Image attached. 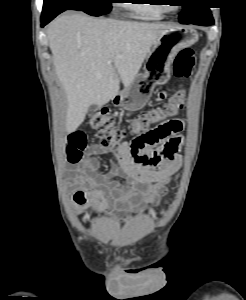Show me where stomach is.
Wrapping results in <instances>:
<instances>
[{"label":"stomach","instance_id":"stomach-1","mask_svg":"<svg viewBox=\"0 0 246 300\" xmlns=\"http://www.w3.org/2000/svg\"><path fill=\"white\" fill-rule=\"evenodd\" d=\"M198 33L191 28L172 27L153 43L145 64V71L136 76L129 87L118 92L112 103L128 111L142 109L150 100L154 87L170 78V63L182 49L198 41Z\"/></svg>","mask_w":246,"mask_h":300}]
</instances>
